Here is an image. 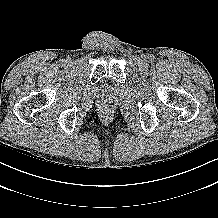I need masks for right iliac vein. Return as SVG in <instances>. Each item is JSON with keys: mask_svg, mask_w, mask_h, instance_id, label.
Here are the masks:
<instances>
[{"mask_svg": "<svg viewBox=\"0 0 218 218\" xmlns=\"http://www.w3.org/2000/svg\"><path fill=\"white\" fill-rule=\"evenodd\" d=\"M65 63H66V64H69V63H70V61H69V60H66V61H65Z\"/></svg>", "mask_w": 218, "mask_h": 218, "instance_id": "obj_1", "label": "right iliac vein"}]
</instances>
